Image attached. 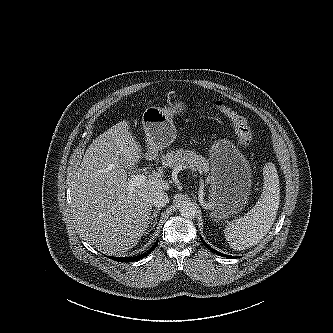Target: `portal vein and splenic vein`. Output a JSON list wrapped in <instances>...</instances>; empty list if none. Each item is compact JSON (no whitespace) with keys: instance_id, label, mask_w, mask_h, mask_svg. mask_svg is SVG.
<instances>
[{"instance_id":"1","label":"portal vein and splenic vein","mask_w":333,"mask_h":333,"mask_svg":"<svg viewBox=\"0 0 333 333\" xmlns=\"http://www.w3.org/2000/svg\"><path fill=\"white\" fill-rule=\"evenodd\" d=\"M146 178H147V176L144 174L134 175L131 177L130 183L132 184V186H136L140 182L144 181Z\"/></svg>"}]
</instances>
